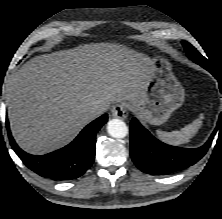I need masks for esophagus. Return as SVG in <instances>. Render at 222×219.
I'll return each instance as SVG.
<instances>
[{"mask_svg": "<svg viewBox=\"0 0 222 219\" xmlns=\"http://www.w3.org/2000/svg\"><path fill=\"white\" fill-rule=\"evenodd\" d=\"M112 116L122 120L126 119L128 116L126 105L124 103H117L112 108Z\"/></svg>", "mask_w": 222, "mask_h": 219, "instance_id": "esophagus-1", "label": "esophagus"}]
</instances>
